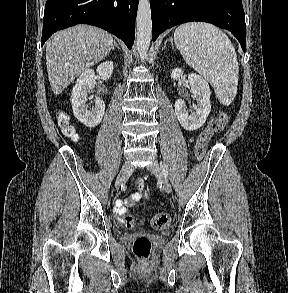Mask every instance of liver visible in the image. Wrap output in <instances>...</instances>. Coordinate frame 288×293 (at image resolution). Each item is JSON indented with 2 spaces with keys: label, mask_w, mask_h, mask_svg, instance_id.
Wrapping results in <instances>:
<instances>
[{
  "label": "liver",
  "mask_w": 288,
  "mask_h": 293,
  "mask_svg": "<svg viewBox=\"0 0 288 293\" xmlns=\"http://www.w3.org/2000/svg\"><path fill=\"white\" fill-rule=\"evenodd\" d=\"M113 47L109 33L89 25H76L52 35L46 42V67L53 93H62L78 75L103 60Z\"/></svg>",
  "instance_id": "1"
}]
</instances>
